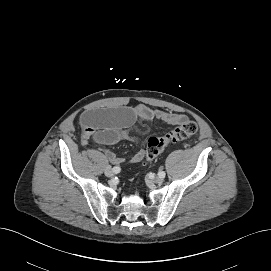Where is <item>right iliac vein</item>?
I'll use <instances>...</instances> for the list:
<instances>
[{
  "instance_id": "63e3f726",
  "label": "right iliac vein",
  "mask_w": 271,
  "mask_h": 271,
  "mask_svg": "<svg viewBox=\"0 0 271 271\" xmlns=\"http://www.w3.org/2000/svg\"><path fill=\"white\" fill-rule=\"evenodd\" d=\"M105 175L107 177H112L114 175V172H113V170L111 168H106L105 169Z\"/></svg>"
}]
</instances>
